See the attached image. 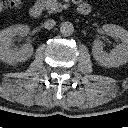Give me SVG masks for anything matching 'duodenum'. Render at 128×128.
I'll list each match as a JSON object with an SVG mask.
<instances>
[{"instance_id":"410a0bca","label":"duodenum","mask_w":128,"mask_h":128,"mask_svg":"<svg viewBox=\"0 0 128 128\" xmlns=\"http://www.w3.org/2000/svg\"><path fill=\"white\" fill-rule=\"evenodd\" d=\"M78 13L81 15H87L90 13L91 8L88 3L82 2L77 7ZM30 16L33 18H40L43 13V6L40 2L34 3L30 8Z\"/></svg>"}]
</instances>
